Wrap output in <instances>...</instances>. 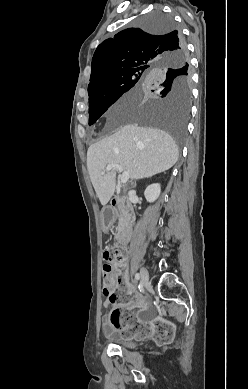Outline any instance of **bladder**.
<instances>
[{"label":"bladder","mask_w":248,"mask_h":389,"mask_svg":"<svg viewBox=\"0 0 248 389\" xmlns=\"http://www.w3.org/2000/svg\"><path fill=\"white\" fill-rule=\"evenodd\" d=\"M132 337L125 338L119 332H113L106 334L105 342L116 344L123 348L133 349L137 346V342L133 340Z\"/></svg>","instance_id":"31cf9c89"}]
</instances>
